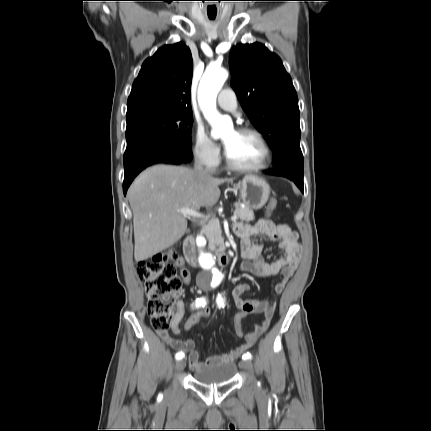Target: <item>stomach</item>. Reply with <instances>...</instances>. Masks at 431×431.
Returning a JSON list of instances; mask_svg holds the SVG:
<instances>
[{"label": "stomach", "mask_w": 431, "mask_h": 431, "mask_svg": "<svg viewBox=\"0 0 431 431\" xmlns=\"http://www.w3.org/2000/svg\"><path fill=\"white\" fill-rule=\"evenodd\" d=\"M239 192L241 201L250 209L258 210L262 208L270 194L269 185L256 176H246L235 185Z\"/></svg>", "instance_id": "obj_1"}]
</instances>
